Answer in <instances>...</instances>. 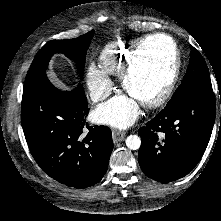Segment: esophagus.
I'll use <instances>...</instances> for the list:
<instances>
[{"label":"esophagus","instance_id":"obj_1","mask_svg":"<svg viewBox=\"0 0 221 221\" xmlns=\"http://www.w3.org/2000/svg\"><path fill=\"white\" fill-rule=\"evenodd\" d=\"M112 137H113V142L118 143L125 138V133H123L117 129H113L112 130Z\"/></svg>","mask_w":221,"mask_h":221}]
</instances>
